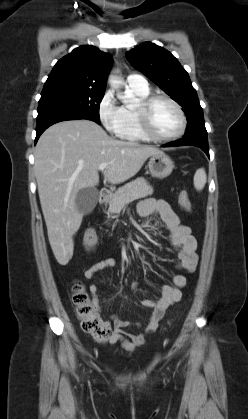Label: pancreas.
Returning a JSON list of instances; mask_svg holds the SVG:
<instances>
[{
  "instance_id": "cf45deb5",
  "label": "pancreas",
  "mask_w": 248,
  "mask_h": 419,
  "mask_svg": "<svg viewBox=\"0 0 248 419\" xmlns=\"http://www.w3.org/2000/svg\"><path fill=\"white\" fill-rule=\"evenodd\" d=\"M152 194L153 188L149 183L143 177H138L114 192L110 201L108 215L118 214L127 203Z\"/></svg>"
}]
</instances>
